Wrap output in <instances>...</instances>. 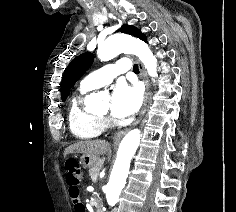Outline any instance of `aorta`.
<instances>
[{"label":"aorta","instance_id":"aorta-1","mask_svg":"<svg viewBox=\"0 0 236 212\" xmlns=\"http://www.w3.org/2000/svg\"><path fill=\"white\" fill-rule=\"evenodd\" d=\"M120 53L135 54L144 64L148 74L157 77V59L148 45L127 34H114L109 36L99 45L97 55L101 61H109ZM107 98L103 92L91 93L85 99L89 108L98 106L103 99ZM140 130L129 131L122 139L117 157L110 175L109 182L104 188L106 200L109 206L114 207L119 201L129 173L130 163L140 143Z\"/></svg>","mask_w":236,"mask_h":212}]
</instances>
